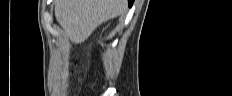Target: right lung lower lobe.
Wrapping results in <instances>:
<instances>
[{"label": "right lung lower lobe", "instance_id": "1", "mask_svg": "<svg viewBox=\"0 0 232 96\" xmlns=\"http://www.w3.org/2000/svg\"><path fill=\"white\" fill-rule=\"evenodd\" d=\"M133 2H134V0H128L129 7L132 6Z\"/></svg>", "mask_w": 232, "mask_h": 96}]
</instances>
